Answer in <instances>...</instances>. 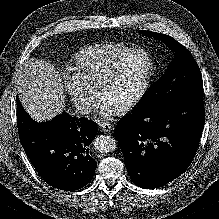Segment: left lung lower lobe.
Instances as JSON below:
<instances>
[{"label": "left lung lower lobe", "instance_id": "left-lung-lower-lobe-1", "mask_svg": "<svg viewBox=\"0 0 219 219\" xmlns=\"http://www.w3.org/2000/svg\"><path fill=\"white\" fill-rule=\"evenodd\" d=\"M205 121L203 95L174 100L153 111H136L119 121L114 135L131 180L139 187H161L191 164Z\"/></svg>", "mask_w": 219, "mask_h": 219}]
</instances>
